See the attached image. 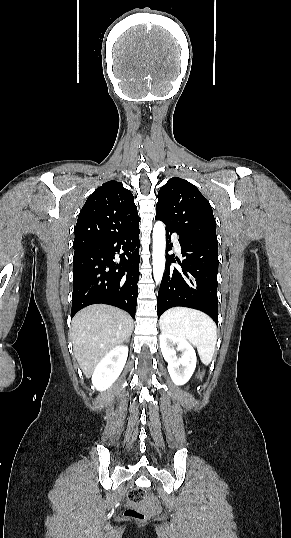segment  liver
<instances>
[{
    "mask_svg": "<svg viewBox=\"0 0 291 538\" xmlns=\"http://www.w3.org/2000/svg\"><path fill=\"white\" fill-rule=\"evenodd\" d=\"M132 330L131 316L113 306H88L73 317V354L87 378L108 352L129 340Z\"/></svg>",
    "mask_w": 291,
    "mask_h": 538,
    "instance_id": "liver-1",
    "label": "liver"
}]
</instances>
